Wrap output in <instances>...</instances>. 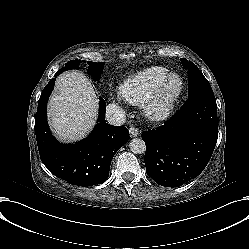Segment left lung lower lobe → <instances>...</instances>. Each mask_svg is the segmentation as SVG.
I'll use <instances>...</instances> for the list:
<instances>
[{
  "instance_id": "left-lung-lower-lobe-1",
  "label": "left lung lower lobe",
  "mask_w": 249,
  "mask_h": 249,
  "mask_svg": "<svg viewBox=\"0 0 249 249\" xmlns=\"http://www.w3.org/2000/svg\"><path fill=\"white\" fill-rule=\"evenodd\" d=\"M218 138L214 94L188 97L164 125L142 133L147 175L166 187L197 177L208 164Z\"/></svg>"
}]
</instances>
